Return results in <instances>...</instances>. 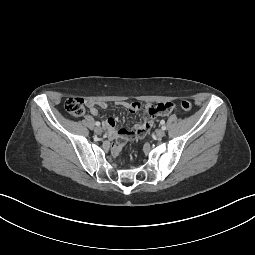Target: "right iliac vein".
<instances>
[{
  "mask_svg": "<svg viewBox=\"0 0 255 255\" xmlns=\"http://www.w3.org/2000/svg\"><path fill=\"white\" fill-rule=\"evenodd\" d=\"M94 132L96 133V134H101L102 133V128L101 127H96L95 129H94Z\"/></svg>",
  "mask_w": 255,
  "mask_h": 255,
  "instance_id": "1",
  "label": "right iliac vein"
}]
</instances>
